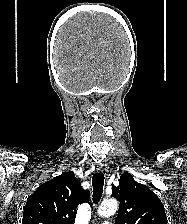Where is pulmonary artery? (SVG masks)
Instances as JSON below:
<instances>
[{
	"label": "pulmonary artery",
	"instance_id": "1",
	"mask_svg": "<svg viewBox=\"0 0 187 224\" xmlns=\"http://www.w3.org/2000/svg\"><path fill=\"white\" fill-rule=\"evenodd\" d=\"M102 224H112V223L109 222V221H105V222H103Z\"/></svg>",
	"mask_w": 187,
	"mask_h": 224
}]
</instances>
